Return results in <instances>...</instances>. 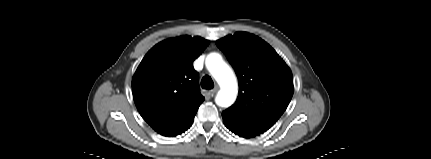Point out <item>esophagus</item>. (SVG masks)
Here are the masks:
<instances>
[{"mask_svg": "<svg viewBox=\"0 0 431 159\" xmlns=\"http://www.w3.org/2000/svg\"><path fill=\"white\" fill-rule=\"evenodd\" d=\"M218 87L216 86L214 89H212V90H210L207 94L210 96V97H213L215 94H216V92L218 91Z\"/></svg>", "mask_w": 431, "mask_h": 159, "instance_id": "esophagus-1", "label": "esophagus"}]
</instances>
